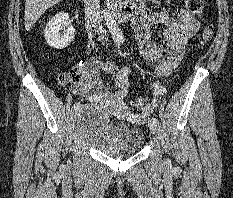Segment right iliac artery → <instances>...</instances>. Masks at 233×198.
Listing matches in <instances>:
<instances>
[{
    "label": "right iliac artery",
    "mask_w": 233,
    "mask_h": 198,
    "mask_svg": "<svg viewBox=\"0 0 233 198\" xmlns=\"http://www.w3.org/2000/svg\"><path fill=\"white\" fill-rule=\"evenodd\" d=\"M80 107H81L80 102L75 103V105H74V109H75V110H79V109H80Z\"/></svg>",
    "instance_id": "1"
}]
</instances>
